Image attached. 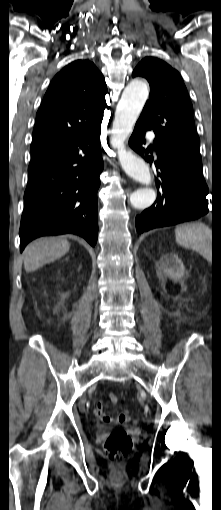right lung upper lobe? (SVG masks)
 Segmentation results:
<instances>
[{"label": "right lung upper lobe", "mask_w": 221, "mask_h": 510, "mask_svg": "<svg viewBox=\"0 0 221 510\" xmlns=\"http://www.w3.org/2000/svg\"><path fill=\"white\" fill-rule=\"evenodd\" d=\"M107 87L89 60H76L52 80L36 115L31 154L66 143L102 122Z\"/></svg>", "instance_id": "right-lung-upper-lobe-1"}]
</instances>
